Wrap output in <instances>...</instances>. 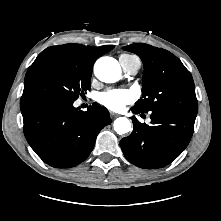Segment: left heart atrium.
Listing matches in <instances>:
<instances>
[{"mask_svg": "<svg viewBox=\"0 0 221 221\" xmlns=\"http://www.w3.org/2000/svg\"><path fill=\"white\" fill-rule=\"evenodd\" d=\"M135 100V92L127 88L109 89L101 93L98 97L100 104L116 112L122 111L128 104L133 103Z\"/></svg>", "mask_w": 221, "mask_h": 221, "instance_id": "39dd6f15", "label": "left heart atrium"}]
</instances>
